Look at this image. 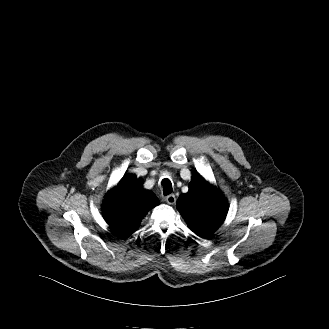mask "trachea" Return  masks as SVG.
<instances>
[{
  "label": "trachea",
  "instance_id": "obj_1",
  "mask_svg": "<svg viewBox=\"0 0 329 329\" xmlns=\"http://www.w3.org/2000/svg\"><path fill=\"white\" fill-rule=\"evenodd\" d=\"M162 186H163V193L164 195H168L172 192V183L169 179L165 178L162 180Z\"/></svg>",
  "mask_w": 329,
  "mask_h": 329
}]
</instances>
